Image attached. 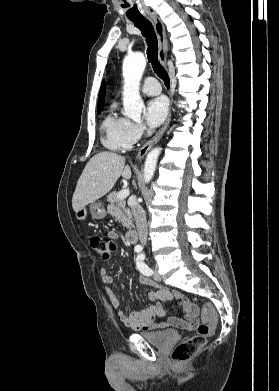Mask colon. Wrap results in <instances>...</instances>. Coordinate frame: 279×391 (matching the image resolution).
<instances>
[{
  "label": "colon",
  "mask_w": 279,
  "mask_h": 391,
  "mask_svg": "<svg viewBox=\"0 0 279 391\" xmlns=\"http://www.w3.org/2000/svg\"><path fill=\"white\" fill-rule=\"evenodd\" d=\"M88 243L103 260L109 259L116 249L114 239L101 234L89 235ZM201 318L202 323L198 326L197 334L175 347L172 357L176 362L183 363L190 360L206 344L207 338L213 334L218 323V313L215 307L210 303L204 304Z\"/></svg>",
  "instance_id": "obj_1"
}]
</instances>
